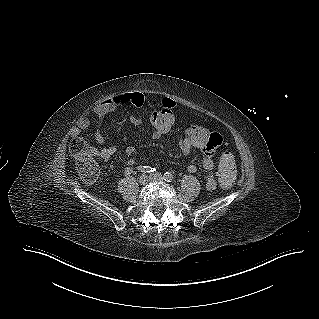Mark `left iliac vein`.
<instances>
[{"label":"left iliac vein","mask_w":319,"mask_h":319,"mask_svg":"<svg viewBox=\"0 0 319 319\" xmlns=\"http://www.w3.org/2000/svg\"><path fill=\"white\" fill-rule=\"evenodd\" d=\"M150 180L152 181H163L164 177L159 173H154L150 175Z\"/></svg>","instance_id":"4c4485c4"}]
</instances>
